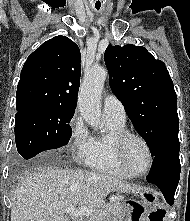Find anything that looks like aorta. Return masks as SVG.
<instances>
[{
    "instance_id": "obj_1",
    "label": "aorta",
    "mask_w": 190,
    "mask_h": 221,
    "mask_svg": "<svg viewBox=\"0 0 190 221\" xmlns=\"http://www.w3.org/2000/svg\"><path fill=\"white\" fill-rule=\"evenodd\" d=\"M107 69L97 67L85 74L78 94V108L85 121L95 129L102 128L101 92Z\"/></svg>"
}]
</instances>
